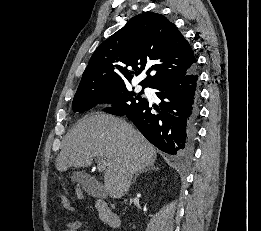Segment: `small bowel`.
<instances>
[{
  "instance_id": "c3829d8e",
  "label": "small bowel",
  "mask_w": 261,
  "mask_h": 231,
  "mask_svg": "<svg viewBox=\"0 0 261 231\" xmlns=\"http://www.w3.org/2000/svg\"><path fill=\"white\" fill-rule=\"evenodd\" d=\"M59 203L64 210H66L68 212L74 211V206L67 197L61 196V198L59 199ZM80 229H81V222L72 221L67 224V227H66V229H64V231H80ZM84 231H89V230H84Z\"/></svg>"
}]
</instances>
